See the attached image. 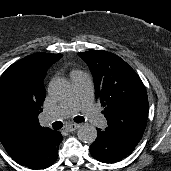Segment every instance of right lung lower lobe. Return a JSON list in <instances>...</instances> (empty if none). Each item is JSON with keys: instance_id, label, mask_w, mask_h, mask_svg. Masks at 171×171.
<instances>
[{"instance_id": "obj_1", "label": "right lung lower lobe", "mask_w": 171, "mask_h": 171, "mask_svg": "<svg viewBox=\"0 0 171 171\" xmlns=\"http://www.w3.org/2000/svg\"><path fill=\"white\" fill-rule=\"evenodd\" d=\"M61 133L55 131L43 144L41 150L25 163L21 164L31 169H45L51 166L58 156V145Z\"/></svg>"}]
</instances>
